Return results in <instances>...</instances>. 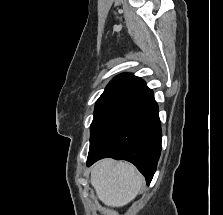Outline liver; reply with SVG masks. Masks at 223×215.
<instances>
[{
	"label": "liver",
	"mask_w": 223,
	"mask_h": 215,
	"mask_svg": "<svg viewBox=\"0 0 223 215\" xmlns=\"http://www.w3.org/2000/svg\"><path fill=\"white\" fill-rule=\"evenodd\" d=\"M143 181V175L127 161L101 159L93 165L91 171V183L97 197L111 207H121L132 201Z\"/></svg>",
	"instance_id": "1"
}]
</instances>
